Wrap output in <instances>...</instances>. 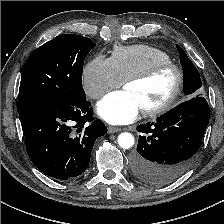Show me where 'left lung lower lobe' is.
Wrapping results in <instances>:
<instances>
[{
  "mask_svg": "<svg viewBox=\"0 0 224 224\" xmlns=\"http://www.w3.org/2000/svg\"><path fill=\"white\" fill-rule=\"evenodd\" d=\"M209 106L204 97H194L155 122L137 126V152L133 155L134 175L144 183L167 185L191 165L209 122Z\"/></svg>",
  "mask_w": 224,
  "mask_h": 224,
  "instance_id": "0a47b994",
  "label": "left lung lower lobe"
}]
</instances>
